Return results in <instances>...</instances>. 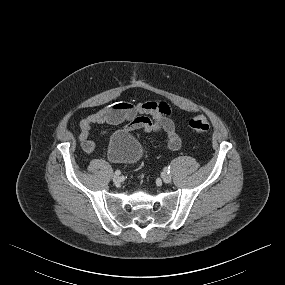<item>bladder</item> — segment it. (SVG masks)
<instances>
[{"label":"bladder","instance_id":"31cf9c89","mask_svg":"<svg viewBox=\"0 0 285 285\" xmlns=\"http://www.w3.org/2000/svg\"><path fill=\"white\" fill-rule=\"evenodd\" d=\"M144 149L138 139L126 131L114 132L108 142V157L115 162L135 164L143 156Z\"/></svg>","mask_w":285,"mask_h":285}]
</instances>
